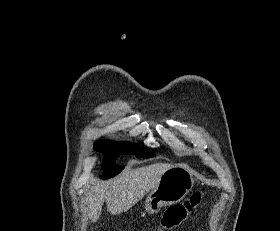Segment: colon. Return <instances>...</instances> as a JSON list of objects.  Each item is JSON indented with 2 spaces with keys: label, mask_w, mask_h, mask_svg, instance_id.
<instances>
[{
  "label": "colon",
  "mask_w": 280,
  "mask_h": 231,
  "mask_svg": "<svg viewBox=\"0 0 280 231\" xmlns=\"http://www.w3.org/2000/svg\"><path fill=\"white\" fill-rule=\"evenodd\" d=\"M202 199L203 194L201 192H196L182 205H176L173 208H169L168 211H165V220H161V225L165 226L161 229V231L179 230V225L185 224L184 220L192 219V216L188 214H190L191 212H196V208L198 207Z\"/></svg>",
  "instance_id": "colon-1"
}]
</instances>
